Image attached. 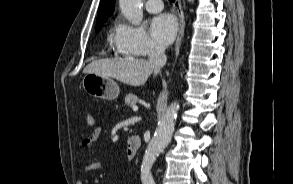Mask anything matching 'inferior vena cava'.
Returning <instances> with one entry per match:
<instances>
[{
    "label": "inferior vena cava",
    "mask_w": 293,
    "mask_h": 184,
    "mask_svg": "<svg viewBox=\"0 0 293 184\" xmlns=\"http://www.w3.org/2000/svg\"><path fill=\"white\" fill-rule=\"evenodd\" d=\"M149 62L154 67L156 73L166 64L167 57L161 45L152 44L149 50Z\"/></svg>",
    "instance_id": "inferior-vena-cava-1"
}]
</instances>
